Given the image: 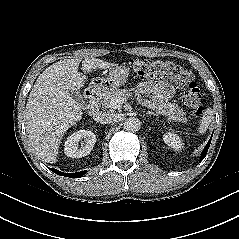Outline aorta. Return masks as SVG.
I'll return each mask as SVG.
<instances>
[{
  "instance_id": "obj_1",
  "label": "aorta",
  "mask_w": 239,
  "mask_h": 239,
  "mask_svg": "<svg viewBox=\"0 0 239 239\" xmlns=\"http://www.w3.org/2000/svg\"><path fill=\"white\" fill-rule=\"evenodd\" d=\"M141 127V122L136 117H129L124 121V129L126 131L135 132L138 131Z\"/></svg>"
}]
</instances>
